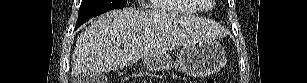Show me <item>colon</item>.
Returning <instances> with one entry per match:
<instances>
[{
    "mask_svg": "<svg viewBox=\"0 0 307 83\" xmlns=\"http://www.w3.org/2000/svg\"><path fill=\"white\" fill-rule=\"evenodd\" d=\"M215 82L216 81L213 78H208V79L204 80V83H215Z\"/></svg>",
    "mask_w": 307,
    "mask_h": 83,
    "instance_id": "obj_1",
    "label": "colon"
}]
</instances>
